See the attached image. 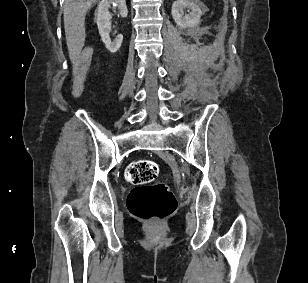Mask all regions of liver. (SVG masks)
<instances>
[{
	"label": "liver",
	"mask_w": 308,
	"mask_h": 283,
	"mask_svg": "<svg viewBox=\"0 0 308 283\" xmlns=\"http://www.w3.org/2000/svg\"><path fill=\"white\" fill-rule=\"evenodd\" d=\"M98 0H65L64 29L69 57L75 61L85 42V16Z\"/></svg>",
	"instance_id": "liver-1"
}]
</instances>
